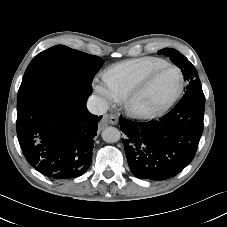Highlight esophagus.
Here are the masks:
<instances>
[{
	"label": "esophagus",
	"mask_w": 227,
	"mask_h": 227,
	"mask_svg": "<svg viewBox=\"0 0 227 227\" xmlns=\"http://www.w3.org/2000/svg\"><path fill=\"white\" fill-rule=\"evenodd\" d=\"M108 121L110 124L116 125L118 123V117L115 114L108 116Z\"/></svg>",
	"instance_id": "1"
}]
</instances>
